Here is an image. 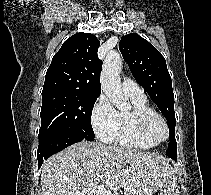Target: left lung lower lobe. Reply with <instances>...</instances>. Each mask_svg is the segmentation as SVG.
Here are the masks:
<instances>
[{"label": "left lung lower lobe", "mask_w": 211, "mask_h": 195, "mask_svg": "<svg viewBox=\"0 0 211 195\" xmlns=\"http://www.w3.org/2000/svg\"><path fill=\"white\" fill-rule=\"evenodd\" d=\"M172 159L177 160V156H174Z\"/></svg>", "instance_id": "0a47b994"}]
</instances>
